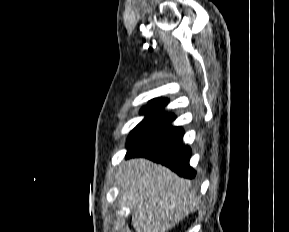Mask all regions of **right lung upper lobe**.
I'll use <instances>...</instances> for the list:
<instances>
[{
    "label": "right lung upper lobe",
    "mask_w": 289,
    "mask_h": 232,
    "mask_svg": "<svg viewBox=\"0 0 289 232\" xmlns=\"http://www.w3.org/2000/svg\"><path fill=\"white\" fill-rule=\"evenodd\" d=\"M168 103V100L165 98H161V99H153L151 101H149V104L151 105L150 107H157V108H164Z\"/></svg>",
    "instance_id": "right-lung-upper-lobe-1"
}]
</instances>
